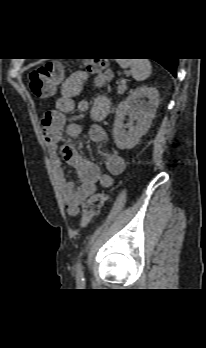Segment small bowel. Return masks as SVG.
Instances as JSON below:
<instances>
[{
  "instance_id": "small-bowel-1",
  "label": "small bowel",
  "mask_w": 206,
  "mask_h": 348,
  "mask_svg": "<svg viewBox=\"0 0 206 348\" xmlns=\"http://www.w3.org/2000/svg\"><path fill=\"white\" fill-rule=\"evenodd\" d=\"M89 75L84 71H77L70 75L62 84L60 96L55 101V107L45 112L42 118V135L53 164L54 175L62 190L63 201L69 215L76 216L82 202L96 191L99 184L104 188L113 185V176L124 172L126 163L123 157L109 153L105 157L107 173L102 172L93 162L82 156L74 147L63 145L62 131L65 128L69 137H76L83 131L80 122H67L65 115L77 110L89 112L88 135L93 142L104 143L106 132L101 126L107 116L110 102L105 96H96L90 104L86 99L75 98L83 90ZM62 162L71 166L79 181L76 188L72 182L66 180Z\"/></svg>"
}]
</instances>
